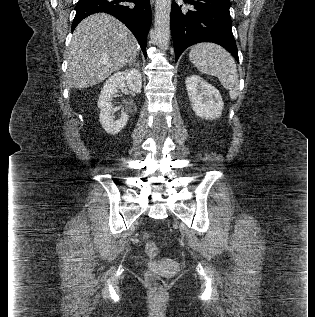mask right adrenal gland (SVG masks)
<instances>
[{
  "mask_svg": "<svg viewBox=\"0 0 315 317\" xmlns=\"http://www.w3.org/2000/svg\"><path fill=\"white\" fill-rule=\"evenodd\" d=\"M128 63L130 64V65H136V67H138V68H140L139 67V63L136 61V56H133V57H131L129 60H128Z\"/></svg>",
  "mask_w": 315,
  "mask_h": 317,
  "instance_id": "1",
  "label": "right adrenal gland"
}]
</instances>
